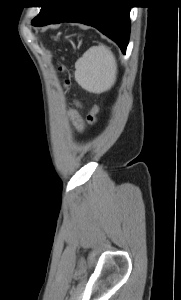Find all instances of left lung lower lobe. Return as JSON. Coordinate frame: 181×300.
Returning a JSON list of instances; mask_svg holds the SVG:
<instances>
[{
  "mask_svg": "<svg viewBox=\"0 0 181 300\" xmlns=\"http://www.w3.org/2000/svg\"><path fill=\"white\" fill-rule=\"evenodd\" d=\"M130 5L125 0H55L37 26L77 22L93 26L125 54L130 34Z\"/></svg>",
  "mask_w": 181,
  "mask_h": 300,
  "instance_id": "obj_1",
  "label": "left lung lower lobe"
}]
</instances>
